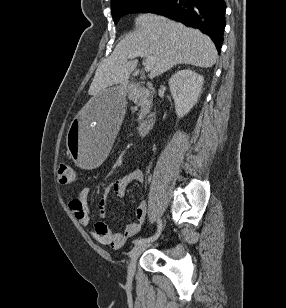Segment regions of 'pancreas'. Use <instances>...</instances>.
Segmentation results:
<instances>
[{
    "label": "pancreas",
    "instance_id": "obj_1",
    "mask_svg": "<svg viewBox=\"0 0 286 308\" xmlns=\"http://www.w3.org/2000/svg\"><path fill=\"white\" fill-rule=\"evenodd\" d=\"M128 98L140 107L138 121L141 122L151 108L152 99L149 89L140 84L132 85L127 90Z\"/></svg>",
    "mask_w": 286,
    "mask_h": 308
}]
</instances>
